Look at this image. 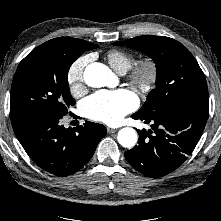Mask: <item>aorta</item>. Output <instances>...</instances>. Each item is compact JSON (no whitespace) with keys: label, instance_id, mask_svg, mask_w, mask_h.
I'll return each instance as SVG.
<instances>
[{"label":"aorta","instance_id":"762f6f07","mask_svg":"<svg viewBox=\"0 0 221 221\" xmlns=\"http://www.w3.org/2000/svg\"><path fill=\"white\" fill-rule=\"evenodd\" d=\"M113 80L114 74L102 63L94 62L85 68L84 81L90 87L100 88L108 86ZM117 139L121 146L132 148L137 142L138 135L135 129L125 127L119 130Z\"/></svg>","mask_w":221,"mask_h":221}]
</instances>
